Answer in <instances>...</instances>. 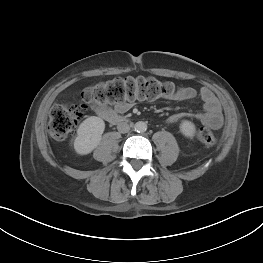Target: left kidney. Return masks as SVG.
Instances as JSON below:
<instances>
[{
  "instance_id": "1",
  "label": "left kidney",
  "mask_w": 263,
  "mask_h": 263,
  "mask_svg": "<svg viewBox=\"0 0 263 263\" xmlns=\"http://www.w3.org/2000/svg\"><path fill=\"white\" fill-rule=\"evenodd\" d=\"M180 131L186 137H193L196 131L195 125L188 120H183L180 124Z\"/></svg>"
}]
</instances>
